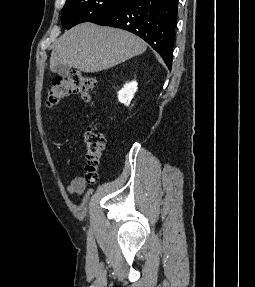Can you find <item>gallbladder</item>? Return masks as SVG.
<instances>
[{"label":"gallbladder","mask_w":255,"mask_h":287,"mask_svg":"<svg viewBox=\"0 0 255 287\" xmlns=\"http://www.w3.org/2000/svg\"><path fill=\"white\" fill-rule=\"evenodd\" d=\"M70 70L71 68H69V66H55V68H53L54 74H58L61 78H66Z\"/></svg>","instance_id":"bac80fb5"}]
</instances>
